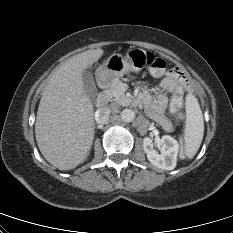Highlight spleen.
Segmentation results:
<instances>
[{
    "label": "spleen",
    "mask_w": 233,
    "mask_h": 233,
    "mask_svg": "<svg viewBox=\"0 0 233 233\" xmlns=\"http://www.w3.org/2000/svg\"><path fill=\"white\" fill-rule=\"evenodd\" d=\"M204 121L198 100L193 95L186 98V122L184 131V154L192 159L203 140Z\"/></svg>",
    "instance_id": "spleen-1"
}]
</instances>
